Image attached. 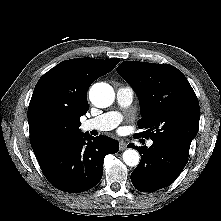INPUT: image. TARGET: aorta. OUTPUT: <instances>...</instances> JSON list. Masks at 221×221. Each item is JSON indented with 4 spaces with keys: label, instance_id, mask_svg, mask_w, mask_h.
Here are the masks:
<instances>
[{
    "label": "aorta",
    "instance_id": "762f6f07",
    "mask_svg": "<svg viewBox=\"0 0 221 221\" xmlns=\"http://www.w3.org/2000/svg\"><path fill=\"white\" fill-rule=\"evenodd\" d=\"M114 90L107 83H96L89 91V99L93 105L99 108L110 106L114 101ZM123 161L130 167L137 166L140 162V155L135 149H127L123 153Z\"/></svg>",
    "mask_w": 221,
    "mask_h": 221
}]
</instances>
